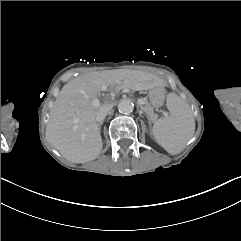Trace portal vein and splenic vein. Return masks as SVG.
<instances>
[{"label":"portal vein and splenic vein","instance_id":"18ae733b","mask_svg":"<svg viewBox=\"0 0 241 241\" xmlns=\"http://www.w3.org/2000/svg\"><path fill=\"white\" fill-rule=\"evenodd\" d=\"M137 101H138L141 105L146 104V99H142L141 97H138V98H137ZM96 105H99V104L96 103Z\"/></svg>","mask_w":241,"mask_h":241}]
</instances>
